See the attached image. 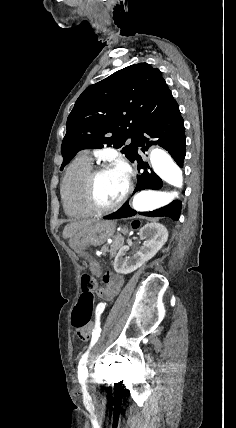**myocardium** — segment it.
Returning a JSON list of instances; mask_svg holds the SVG:
<instances>
[{
	"instance_id": "myocardium-1",
	"label": "myocardium",
	"mask_w": 236,
	"mask_h": 428,
	"mask_svg": "<svg viewBox=\"0 0 236 428\" xmlns=\"http://www.w3.org/2000/svg\"><path fill=\"white\" fill-rule=\"evenodd\" d=\"M111 169H118L125 172L128 176V186L124 195L117 202L112 204H104L97 197L96 183L99 177L103 173ZM133 178H134L133 171L129 166L123 163L121 164L104 163L92 169V171L88 174L84 183V196L88 206L95 212H110V211L119 209L128 201V199L131 197L134 191Z\"/></svg>"
}]
</instances>
